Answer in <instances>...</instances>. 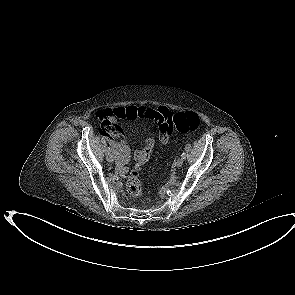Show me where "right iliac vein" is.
Masks as SVG:
<instances>
[{
	"label": "right iliac vein",
	"instance_id": "right-iliac-vein-1",
	"mask_svg": "<svg viewBox=\"0 0 295 295\" xmlns=\"http://www.w3.org/2000/svg\"><path fill=\"white\" fill-rule=\"evenodd\" d=\"M106 159L108 162L113 163L115 160V157L113 154L109 153V154H107Z\"/></svg>",
	"mask_w": 295,
	"mask_h": 295
}]
</instances>
